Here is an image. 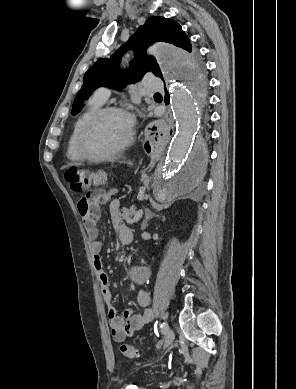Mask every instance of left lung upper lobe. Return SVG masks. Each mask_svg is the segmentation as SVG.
<instances>
[{
  "mask_svg": "<svg viewBox=\"0 0 296 389\" xmlns=\"http://www.w3.org/2000/svg\"><path fill=\"white\" fill-rule=\"evenodd\" d=\"M157 41L169 42L191 53V75L192 78L204 86V65L188 36L181 26L172 19L155 16L148 19L144 25L123 44L109 59H99L84 75V84L78 92L71 114L80 112L81 104L91 93L100 86L121 89L126 83V78H130V83L138 82L145 73L153 72L154 75L163 79V74L155 58L144 53V50ZM135 51V58L130 63L129 71H121L118 64L121 56L128 50Z\"/></svg>",
  "mask_w": 296,
  "mask_h": 389,
  "instance_id": "left-lung-upper-lobe-1",
  "label": "left lung upper lobe"
}]
</instances>
